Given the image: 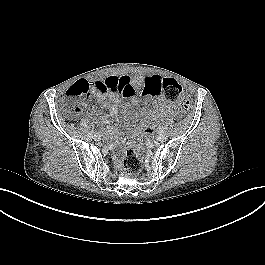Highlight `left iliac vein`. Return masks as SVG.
<instances>
[{"mask_svg": "<svg viewBox=\"0 0 265 265\" xmlns=\"http://www.w3.org/2000/svg\"><path fill=\"white\" fill-rule=\"evenodd\" d=\"M167 139V134L164 133V132H160L158 134V137H157V140L160 141V142H163Z\"/></svg>", "mask_w": 265, "mask_h": 265, "instance_id": "1", "label": "left iliac vein"}]
</instances>
